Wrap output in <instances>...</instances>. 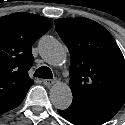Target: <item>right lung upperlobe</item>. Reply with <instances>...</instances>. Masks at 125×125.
I'll return each instance as SVG.
<instances>
[{"mask_svg":"<svg viewBox=\"0 0 125 125\" xmlns=\"http://www.w3.org/2000/svg\"><path fill=\"white\" fill-rule=\"evenodd\" d=\"M51 26V19L35 14L0 17V102L26 95L34 84L28 75L31 47Z\"/></svg>","mask_w":125,"mask_h":125,"instance_id":"cb5924a9","label":"right lung upper lobe"}]
</instances>
